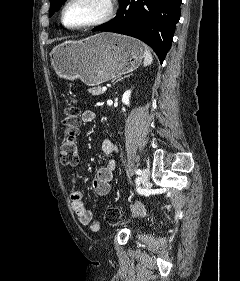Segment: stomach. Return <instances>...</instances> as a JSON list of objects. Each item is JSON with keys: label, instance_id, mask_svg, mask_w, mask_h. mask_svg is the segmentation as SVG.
Here are the masks:
<instances>
[{"label": "stomach", "instance_id": "obj_1", "mask_svg": "<svg viewBox=\"0 0 240 281\" xmlns=\"http://www.w3.org/2000/svg\"><path fill=\"white\" fill-rule=\"evenodd\" d=\"M140 41L102 33L78 41H66L50 51L56 74L67 80L80 79L94 86L135 70L144 57Z\"/></svg>", "mask_w": 240, "mask_h": 281}]
</instances>
